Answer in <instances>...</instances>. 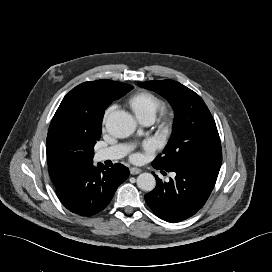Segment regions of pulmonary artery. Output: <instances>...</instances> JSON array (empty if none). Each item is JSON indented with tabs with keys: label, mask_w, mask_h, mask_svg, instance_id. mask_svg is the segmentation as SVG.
<instances>
[{
	"label": "pulmonary artery",
	"mask_w": 272,
	"mask_h": 272,
	"mask_svg": "<svg viewBox=\"0 0 272 272\" xmlns=\"http://www.w3.org/2000/svg\"><path fill=\"white\" fill-rule=\"evenodd\" d=\"M153 121L148 120L142 122L144 125L148 126ZM129 147L127 145H115L108 148L100 149L96 152V159L98 161H106V160H118L126 155L128 152Z\"/></svg>",
	"instance_id": "pulmonary-artery-1"
}]
</instances>
